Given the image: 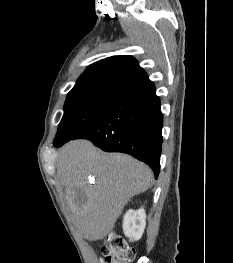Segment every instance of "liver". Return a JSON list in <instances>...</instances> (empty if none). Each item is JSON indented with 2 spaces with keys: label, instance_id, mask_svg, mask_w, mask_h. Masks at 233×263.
<instances>
[{
  "label": "liver",
  "instance_id": "6515ba94",
  "mask_svg": "<svg viewBox=\"0 0 233 263\" xmlns=\"http://www.w3.org/2000/svg\"><path fill=\"white\" fill-rule=\"evenodd\" d=\"M57 177L75 226L89 241L109 234L130 198L152 183V172L144 163L126 154L101 152L87 140H73L62 147ZM89 177L93 184L88 183Z\"/></svg>",
  "mask_w": 233,
  "mask_h": 263
}]
</instances>
